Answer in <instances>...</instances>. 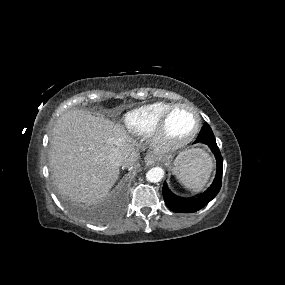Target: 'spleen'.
Returning <instances> with one entry per match:
<instances>
[{
    "mask_svg": "<svg viewBox=\"0 0 285 285\" xmlns=\"http://www.w3.org/2000/svg\"><path fill=\"white\" fill-rule=\"evenodd\" d=\"M213 169L212 158L203 149L192 148L180 155L174 173L181 184L194 192L203 189Z\"/></svg>",
    "mask_w": 285,
    "mask_h": 285,
    "instance_id": "3e777b00",
    "label": "spleen"
}]
</instances>
